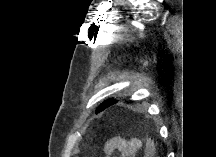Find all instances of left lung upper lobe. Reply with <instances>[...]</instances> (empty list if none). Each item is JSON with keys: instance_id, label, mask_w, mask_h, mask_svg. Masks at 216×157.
<instances>
[{"instance_id": "left-lung-upper-lobe-1", "label": "left lung upper lobe", "mask_w": 216, "mask_h": 157, "mask_svg": "<svg viewBox=\"0 0 216 157\" xmlns=\"http://www.w3.org/2000/svg\"><path fill=\"white\" fill-rule=\"evenodd\" d=\"M117 102V100L111 98V99H108L106 101H104L98 108H97V112H101L103 111L104 109L114 105L115 103Z\"/></svg>"}]
</instances>
